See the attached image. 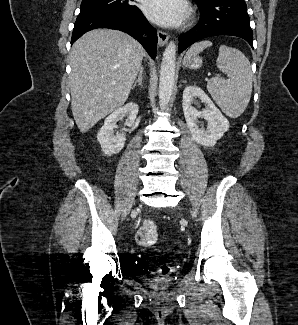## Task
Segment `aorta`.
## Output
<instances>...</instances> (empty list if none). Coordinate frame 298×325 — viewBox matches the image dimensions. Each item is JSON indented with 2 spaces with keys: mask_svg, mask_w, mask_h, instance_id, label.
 Instances as JSON below:
<instances>
[{
  "mask_svg": "<svg viewBox=\"0 0 298 325\" xmlns=\"http://www.w3.org/2000/svg\"><path fill=\"white\" fill-rule=\"evenodd\" d=\"M177 60L176 40H169L164 48L160 64L158 98L160 108L167 106L171 100L175 86Z\"/></svg>",
  "mask_w": 298,
  "mask_h": 325,
  "instance_id": "obj_1",
  "label": "aorta"
}]
</instances>
